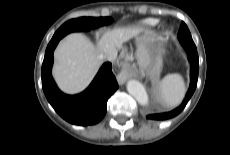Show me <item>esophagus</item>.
<instances>
[{
	"label": "esophagus",
	"instance_id": "1",
	"mask_svg": "<svg viewBox=\"0 0 230 155\" xmlns=\"http://www.w3.org/2000/svg\"><path fill=\"white\" fill-rule=\"evenodd\" d=\"M130 77V74L126 71H121L118 75H117V81L120 85L124 84L125 81Z\"/></svg>",
	"mask_w": 230,
	"mask_h": 155
}]
</instances>
